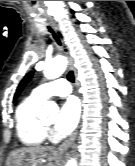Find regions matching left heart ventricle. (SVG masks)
Wrapping results in <instances>:
<instances>
[{"label":"left heart ventricle","mask_w":135,"mask_h":166,"mask_svg":"<svg viewBox=\"0 0 135 166\" xmlns=\"http://www.w3.org/2000/svg\"><path fill=\"white\" fill-rule=\"evenodd\" d=\"M54 119H44V122L48 125H52Z\"/></svg>","instance_id":"left-heart-ventricle-1"}]
</instances>
